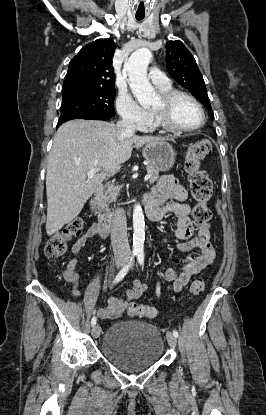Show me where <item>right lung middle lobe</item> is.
<instances>
[{
    "instance_id": "1",
    "label": "right lung middle lobe",
    "mask_w": 266,
    "mask_h": 415,
    "mask_svg": "<svg viewBox=\"0 0 266 415\" xmlns=\"http://www.w3.org/2000/svg\"><path fill=\"white\" fill-rule=\"evenodd\" d=\"M61 115L68 113L114 117L115 89L81 88L62 92Z\"/></svg>"
}]
</instances>
